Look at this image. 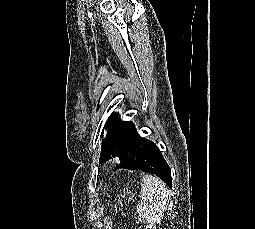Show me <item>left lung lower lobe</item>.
<instances>
[{
	"label": "left lung lower lobe",
	"instance_id": "0a47b994",
	"mask_svg": "<svg viewBox=\"0 0 255 229\" xmlns=\"http://www.w3.org/2000/svg\"><path fill=\"white\" fill-rule=\"evenodd\" d=\"M110 128L128 137L129 143L120 157L119 168L141 170L155 174L172 188L171 170L158 147L141 137L131 122L120 121L116 115L109 118Z\"/></svg>",
	"mask_w": 255,
	"mask_h": 229
}]
</instances>
